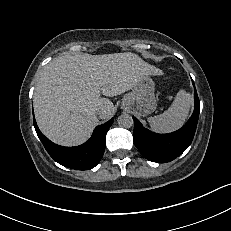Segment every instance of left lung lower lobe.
<instances>
[{
  "label": "left lung lower lobe",
  "instance_id": "left-lung-lower-lobe-1",
  "mask_svg": "<svg viewBox=\"0 0 231 231\" xmlns=\"http://www.w3.org/2000/svg\"><path fill=\"white\" fill-rule=\"evenodd\" d=\"M195 109L188 122L178 131L169 134H157L145 129L134 119L133 139L140 153L148 160L166 163L182 154L191 144L199 117L200 102L194 87Z\"/></svg>",
  "mask_w": 231,
  "mask_h": 231
}]
</instances>
